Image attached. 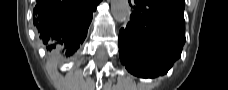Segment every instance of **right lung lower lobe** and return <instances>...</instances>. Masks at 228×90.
Returning a JSON list of instances; mask_svg holds the SVG:
<instances>
[{"instance_id": "1", "label": "right lung lower lobe", "mask_w": 228, "mask_h": 90, "mask_svg": "<svg viewBox=\"0 0 228 90\" xmlns=\"http://www.w3.org/2000/svg\"><path fill=\"white\" fill-rule=\"evenodd\" d=\"M101 0H37L33 23L46 49L72 56L83 43Z\"/></svg>"}]
</instances>
